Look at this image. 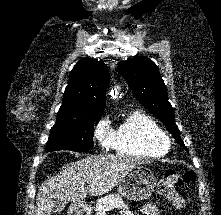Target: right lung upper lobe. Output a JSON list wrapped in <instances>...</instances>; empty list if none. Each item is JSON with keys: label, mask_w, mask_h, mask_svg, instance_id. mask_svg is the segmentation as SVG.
<instances>
[{"label": "right lung upper lobe", "mask_w": 221, "mask_h": 215, "mask_svg": "<svg viewBox=\"0 0 221 215\" xmlns=\"http://www.w3.org/2000/svg\"><path fill=\"white\" fill-rule=\"evenodd\" d=\"M109 72L102 61L85 58L70 73L58 113L76 112L103 115Z\"/></svg>", "instance_id": "right-lung-upper-lobe-1"}]
</instances>
